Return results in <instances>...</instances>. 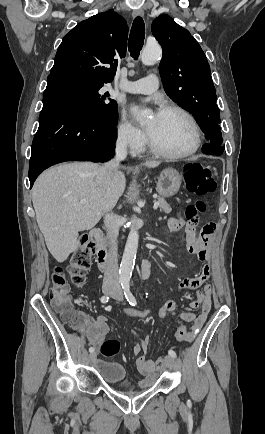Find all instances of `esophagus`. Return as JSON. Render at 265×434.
Returning a JSON list of instances; mask_svg holds the SVG:
<instances>
[{"label": "esophagus", "mask_w": 265, "mask_h": 434, "mask_svg": "<svg viewBox=\"0 0 265 434\" xmlns=\"http://www.w3.org/2000/svg\"><path fill=\"white\" fill-rule=\"evenodd\" d=\"M144 14V11L142 9H138V10H134L133 11V17H138V16H142Z\"/></svg>", "instance_id": "esophagus-1"}]
</instances>
